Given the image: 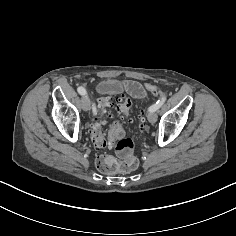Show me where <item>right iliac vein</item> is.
Returning <instances> with one entry per match:
<instances>
[{"label": "right iliac vein", "mask_w": 236, "mask_h": 236, "mask_svg": "<svg viewBox=\"0 0 236 236\" xmlns=\"http://www.w3.org/2000/svg\"><path fill=\"white\" fill-rule=\"evenodd\" d=\"M81 108L84 111H88L90 109V99L88 96H83L81 98Z\"/></svg>", "instance_id": "obj_1"}]
</instances>
